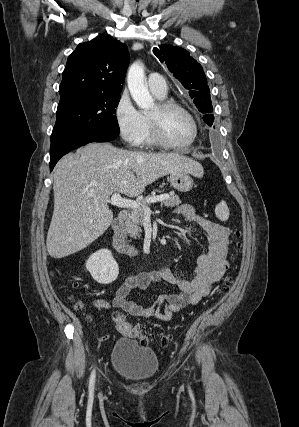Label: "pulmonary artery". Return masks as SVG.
Here are the masks:
<instances>
[{
  "label": "pulmonary artery",
  "mask_w": 299,
  "mask_h": 427,
  "mask_svg": "<svg viewBox=\"0 0 299 427\" xmlns=\"http://www.w3.org/2000/svg\"><path fill=\"white\" fill-rule=\"evenodd\" d=\"M148 87L150 91L158 96H166L168 86L163 75L159 73H152L148 77Z\"/></svg>",
  "instance_id": "pulmonary-artery-1"
}]
</instances>
